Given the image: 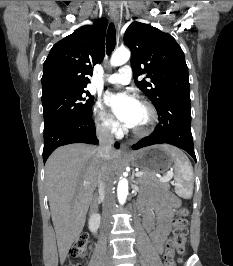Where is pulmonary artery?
Here are the masks:
<instances>
[{
	"label": "pulmonary artery",
	"mask_w": 233,
	"mask_h": 266,
	"mask_svg": "<svg viewBox=\"0 0 233 266\" xmlns=\"http://www.w3.org/2000/svg\"><path fill=\"white\" fill-rule=\"evenodd\" d=\"M132 77V69L130 66L125 65L119 69L118 72L108 75L106 82L114 85H126L130 82Z\"/></svg>",
	"instance_id": "1"
}]
</instances>
